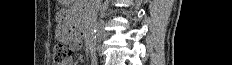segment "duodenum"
Instances as JSON below:
<instances>
[{"label":"duodenum","instance_id":"410a0bca","mask_svg":"<svg viewBox=\"0 0 232 65\" xmlns=\"http://www.w3.org/2000/svg\"><path fill=\"white\" fill-rule=\"evenodd\" d=\"M85 23L83 20L79 21L78 26H77V35H78V40L82 41L85 36Z\"/></svg>","mask_w":232,"mask_h":65}]
</instances>
